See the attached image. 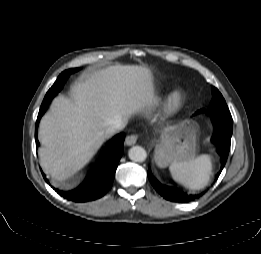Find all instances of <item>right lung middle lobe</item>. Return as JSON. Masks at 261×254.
I'll list each match as a JSON object with an SVG mask.
<instances>
[{
  "label": "right lung middle lobe",
  "instance_id": "right-lung-middle-lobe-1",
  "mask_svg": "<svg viewBox=\"0 0 261 254\" xmlns=\"http://www.w3.org/2000/svg\"><path fill=\"white\" fill-rule=\"evenodd\" d=\"M77 70L78 69H70V70H66L65 72L69 73V72H74V71H77ZM60 90H61V88H58V83L55 82L54 85L49 89V91L47 93L58 92Z\"/></svg>",
  "mask_w": 261,
  "mask_h": 254
}]
</instances>
